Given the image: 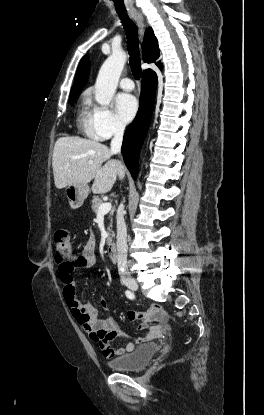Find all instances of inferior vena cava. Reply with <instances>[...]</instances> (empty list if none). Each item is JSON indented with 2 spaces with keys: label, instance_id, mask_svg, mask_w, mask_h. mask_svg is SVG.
<instances>
[{
  "label": "inferior vena cava",
  "instance_id": "inferior-vena-cava-1",
  "mask_svg": "<svg viewBox=\"0 0 264 415\" xmlns=\"http://www.w3.org/2000/svg\"><path fill=\"white\" fill-rule=\"evenodd\" d=\"M124 125L122 123H117L115 126L114 137L111 140V152L120 153L122 139L124 134ZM124 176L123 172L120 173V177ZM123 204L120 205L117 211V266L119 274L123 277L128 275L127 267V229L123 215Z\"/></svg>",
  "mask_w": 264,
  "mask_h": 415
}]
</instances>
